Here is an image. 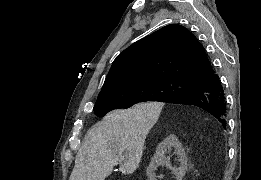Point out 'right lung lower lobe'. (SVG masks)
I'll list each match as a JSON object with an SVG mask.
<instances>
[{
	"instance_id": "98d812e1",
	"label": "right lung lower lobe",
	"mask_w": 261,
	"mask_h": 180,
	"mask_svg": "<svg viewBox=\"0 0 261 180\" xmlns=\"http://www.w3.org/2000/svg\"><path fill=\"white\" fill-rule=\"evenodd\" d=\"M166 102L198 106L212 114L224 128L226 126L225 94L222 83L214 71L202 77L194 90L172 97Z\"/></svg>"
}]
</instances>
